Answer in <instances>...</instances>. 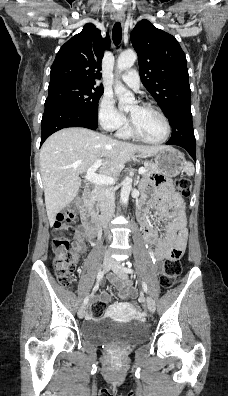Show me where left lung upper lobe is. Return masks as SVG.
I'll use <instances>...</instances> for the list:
<instances>
[{
	"label": "left lung upper lobe",
	"mask_w": 228,
	"mask_h": 396,
	"mask_svg": "<svg viewBox=\"0 0 228 396\" xmlns=\"http://www.w3.org/2000/svg\"><path fill=\"white\" fill-rule=\"evenodd\" d=\"M140 78L167 118L181 117L180 105L191 102L186 57L178 41L148 20L131 32Z\"/></svg>",
	"instance_id": "left-lung-upper-lobe-1"
}]
</instances>
